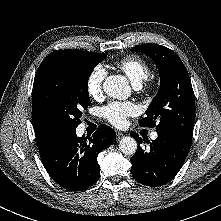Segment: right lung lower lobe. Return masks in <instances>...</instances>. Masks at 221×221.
<instances>
[{"label": "right lung lower lobe", "instance_id": "98d812e1", "mask_svg": "<svg viewBox=\"0 0 221 221\" xmlns=\"http://www.w3.org/2000/svg\"><path fill=\"white\" fill-rule=\"evenodd\" d=\"M114 141L115 131L101 124L92 137L79 138L74 129L53 135L38 148L50 177L67 190L79 191L92 186L99 179L97 155Z\"/></svg>", "mask_w": 221, "mask_h": 221}]
</instances>
